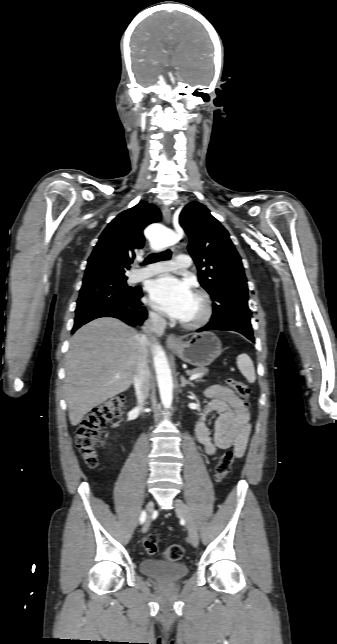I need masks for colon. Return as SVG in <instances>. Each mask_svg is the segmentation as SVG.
<instances>
[{
    "label": "colon",
    "instance_id": "1",
    "mask_svg": "<svg viewBox=\"0 0 337 644\" xmlns=\"http://www.w3.org/2000/svg\"><path fill=\"white\" fill-rule=\"evenodd\" d=\"M226 383L245 401V407H248L250 391L247 385L231 377L226 378ZM124 405L125 398L121 395L115 396L93 408L80 423L76 434V446L89 467L94 468L98 464L97 446L102 427L109 420L117 417L122 412ZM233 462L234 453L231 450L225 451L220 456L215 470L218 482L227 478ZM144 547L149 554L157 552L158 536L156 533L152 532L146 536ZM182 556L183 548L179 544H171L163 551V557L168 561H178Z\"/></svg>",
    "mask_w": 337,
    "mask_h": 644
}]
</instances>
